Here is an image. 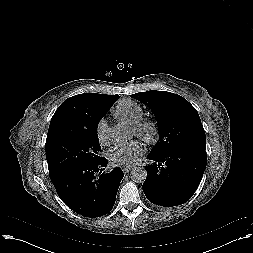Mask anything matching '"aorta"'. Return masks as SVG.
Returning <instances> with one entry per match:
<instances>
[{
  "label": "aorta",
  "mask_w": 253,
  "mask_h": 253,
  "mask_svg": "<svg viewBox=\"0 0 253 253\" xmlns=\"http://www.w3.org/2000/svg\"><path fill=\"white\" fill-rule=\"evenodd\" d=\"M113 135L116 140L124 141L131 137V131L126 124H117L113 129ZM147 177V172L143 168H135L131 172V179L136 183H143Z\"/></svg>",
  "instance_id": "aorta-1"
}]
</instances>
